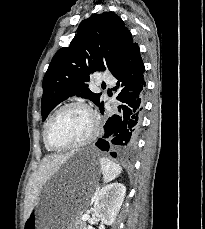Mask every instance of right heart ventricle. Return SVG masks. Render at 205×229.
<instances>
[{
	"mask_svg": "<svg viewBox=\"0 0 205 229\" xmlns=\"http://www.w3.org/2000/svg\"><path fill=\"white\" fill-rule=\"evenodd\" d=\"M52 115H53V114H51V115L47 118L46 122L44 123L43 132H42L43 142H44V145H45V148H46L47 151H52V149H50V148L47 146L46 142H45V130H46L47 124H48V122H49V120H50V118H51Z\"/></svg>",
	"mask_w": 205,
	"mask_h": 229,
	"instance_id": "right-heart-ventricle-1",
	"label": "right heart ventricle"
}]
</instances>
